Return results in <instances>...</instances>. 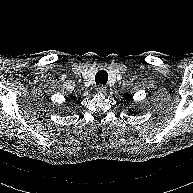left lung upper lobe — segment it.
I'll return each mask as SVG.
<instances>
[{
  "instance_id": "5c2ea615",
  "label": "left lung upper lobe",
  "mask_w": 193,
  "mask_h": 193,
  "mask_svg": "<svg viewBox=\"0 0 193 193\" xmlns=\"http://www.w3.org/2000/svg\"><path fill=\"white\" fill-rule=\"evenodd\" d=\"M130 98H131L130 95L125 94V99L129 100ZM130 112H131V110H130Z\"/></svg>"
}]
</instances>
